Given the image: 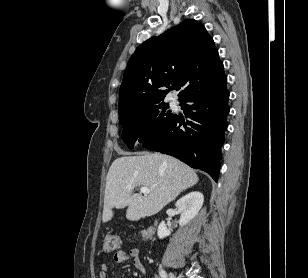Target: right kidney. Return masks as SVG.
Segmentation results:
<instances>
[{
  "mask_svg": "<svg viewBox=\"0 0 308 278\" xmlns=\"http://www.w3.org/2000/svg\"><path fill=\"white\" fill-rule=\"evenodd\" d=\"M203 202V194L197 191L188 193L176 202V208L181 214L179 220V225L181 227L189 223L198 214ZM157 234L160 239L170 235V231L167 229L165 221H162L159 224Z\"/></svg>",
  "mask_w": 308,
  "mask_h": 278,
  "instance_id": "right-kidney-1",
  "label": "right kidney"
}]
</instances>
